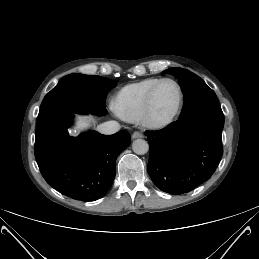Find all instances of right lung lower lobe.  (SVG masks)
I'll use <instances>...</instances> for the list:
<instances>
[{
  "mask_svg": "<svg viewBox=\"0 0 259 259\" xmlns=\"http://www.w3.org/2000/svg\"><path fill=\"white\" fill-rule=\"evenodd\" d=\"M74 113L58 112L38 121L34 153L48 184L67 197L89 202L111 187L117 156L130 144V134L93 131L70 137L67 129Z\"/></svg>",
  "mask_w": 259,
  "mask_h": 259,
  "instance_id": "obj_1",
  "label": "right lung lower lobe"
}]
</instances>
